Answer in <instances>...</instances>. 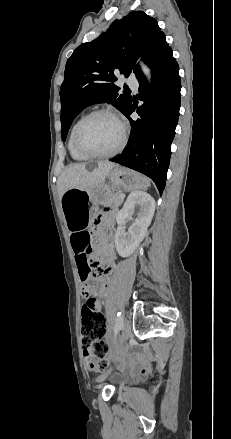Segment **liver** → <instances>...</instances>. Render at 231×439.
<instances>
[{
  "mask_svg": "<svg viewBox=\"0 0 231 439\" xmlns=\"http://www.w3.org/2000/svg\"><path fill=\"white\" fill-rule=\"evenodd\" d=\"M115 167L114 163L108 161L98 162L96 168L89 171L85 163L68 165L61 173L58 182V194L62 195L71 188L90 189L103 182L107 174Z\"/></svg>",
  "mask_w": 231,
  "mask_h": 439,
  "instance_id": "obj_1",
  "label": "liver"
}]
</instances>
